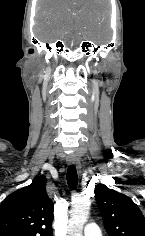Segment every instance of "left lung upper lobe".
I'll return each instance as SVG.
<instances>
[{"label": "left lung upper lobe", "mask_w": 145, "mask_h": 236, "mask_svg": "<svg viewBox=\"0 0 145 236\" xmlns=\"http://www.w3.org/2000/svg\"><path fill=\"white\" fill-rule=\"evenodd\" d=\"M95 199L109 236H145V217L128 196L97 184Z\"/></svg>", "instance_id": "5c2ea615"}]
</instances>
